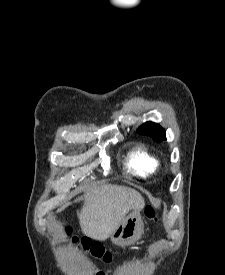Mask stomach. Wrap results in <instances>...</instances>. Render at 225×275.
Wrapping results in <instances>:
<instances>
[{
	"label": "stomach",
	"mask_w": 225,
	"mask_h": 275,
	"mask_svg": "<svg viewBox=\"0 0 225 275\" xmlns=\"http://www.w3.org/2000/svg\"><path fill=\"white\" fill-rule=\"evenodd\" d=\"M144 233V223L140 210L133 211L117 226L111 234V240L119 246H127L137 242Z\"/></svg>",
	"instance_id": "0dacf381"
}]
</instances>
